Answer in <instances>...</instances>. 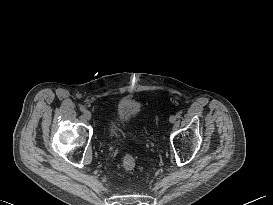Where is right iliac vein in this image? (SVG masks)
<instances>
[{
  "instance_id": "right-iliac-vein-1",
  "label": "right iliac vein",
  "mask_w": 273,
  "mask_h": 205,
  "mask_svg": "<svg viewBox=\"0 0 273 205\" xmlns=\"http://www.w3.org/2000/svg\"><path fill=\"white\" fill-rule=\"evenodd\" d=\"M84 118L86 119V120H91V118H92V115H91V112L89 111V110H85L84 111Z\"/></svg>"
}]
</instances>
